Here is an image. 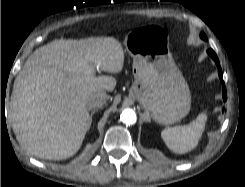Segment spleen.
Masks as SVG:
<instances>
[{
	"label": "spleen",
	"mask_w": 245,
	"mask_h": 187,
	"mask_svg": "<svg viewBox=\"0 0 245 187\" xmlns=\"http://www.w3.org/2000/svg\"><path fill=\"white\" fill-rule=\"evenodd\" d=\"M207 113H200L188 125L168 127L162 130L161 137L167 147L175 153L183 154L193 150L199 143L205 129Z\"/></svg>",
	"instance_id": "obj_1"
}]
</instances>
